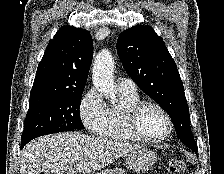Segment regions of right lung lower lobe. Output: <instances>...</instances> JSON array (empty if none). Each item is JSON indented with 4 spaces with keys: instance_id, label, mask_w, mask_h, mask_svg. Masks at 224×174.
Segmentation results:
<instances>
[{
    "instance_id": "98d812e1",
    "label": "right lung lower lobe",
    "mask_w": 224,
    "mask_h": 174,
    "mask_svg": "<svg viewBox=\"0 0 224 174\" xmlns=\"http://www.w3.org/2000/svg\"><path fill=\"white\" fill-rule=\"evenodd\" d=\"M25 144H27L26 142H22L21 143V147H23Z\"/></svg>"
}]
</instances>
